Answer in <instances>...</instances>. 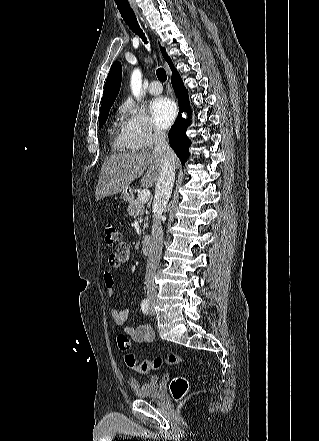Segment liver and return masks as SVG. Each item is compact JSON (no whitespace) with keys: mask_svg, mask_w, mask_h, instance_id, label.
Wrapping results in <instances>:
<instances>
[{"mask_svg":"<svg viewBox=\"0 0 319 441\" xmlns=\"http://www.w3.org/2000/svg\"><path fill=\"white\" fill-rule=\"evenodd\" d=\"M179 161L175 158V166ZM146 171V172H145ZM161 161L150 152L123 153L107 158L100 170L95 199L111 196L129 188L134 179L144 177L141 186L150 188L157 184Z\"/></svg>","mask_w":319,"mask_h":441,"instance_id":"obj_1","label":"liver"}]
</instances>
